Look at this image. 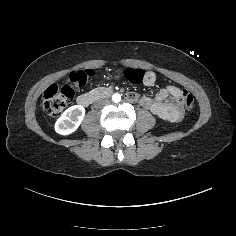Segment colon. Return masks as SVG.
Returning <instances> with one entry per match:
<instances>
[{
	"mask_svg": "<svg viewBox=\"0 0 236 236\" xmlns=\"http://www.w3.org/2000/svg\"><path fill=\"white\" fill-rule=\"evenodd\" d=\"M92 75L93 73L91 70L74 71L68 76L69 85L61 87L57 85L50 86L45 91L42 100V108L45 113L50 116L59 115L74 97L73 86L81 87L86 85L90 81ZM125 77L133 84H140L148 77V75L142 69L128 68L125 70ZM181 102L187 110H191L194 105V98L190 93L182 91Z\"/></svg>",
	"mask_w": 236,
	"mask_h": 236,
	"instance_id": "5ec220e1",
	"label": "colon"
}]
</instances>
